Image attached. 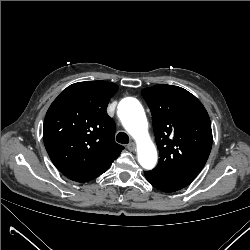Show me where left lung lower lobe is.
Listing matches in <instances>:
<instances>
[{
    "label": "left lung lower lobe",
    "mask_w": 250,
    "mask_h": 250,
    "mask_svg": "<svg viewBox=\"0 0 250 250\" xmlns=\"http://www.w3.org/2000/svg\"><path fill=\"white\" fill-rule=\"evenodd\" d=\"M146 179L155 188L164 192H174L189 185L197 176V172L186 173H159L145 171Z\"/></svg>",
    "instance_id": "0a47b994"
}]
</instances>
